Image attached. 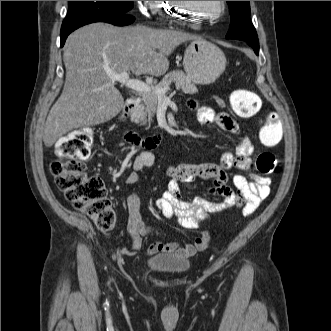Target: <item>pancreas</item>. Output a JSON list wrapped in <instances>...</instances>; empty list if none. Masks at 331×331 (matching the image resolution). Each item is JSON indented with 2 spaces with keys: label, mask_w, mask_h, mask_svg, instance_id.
Here are the masks:
<instances>
[{
  "label": "pancreas",
  "mask_w": 331,
  "mask_h": 331,
  "mask_svg": "<svg viewBox=\"0 0 331 331\" xmlns=\"http://www.w3.org/2000/svg\"><path fill=\"white\" fill-rule=\"evenodd\" d=\"M172 82L175 83L177 89H181L185 93L195 94L198 92L195 83L189 76L180 70L172 71L165 75L159 84L152 86L150 91L142 94L143 103L133 109L131 113V121L136 124L141 122L142 125L148 123V127H150L152 117L156 113L158 104V96L155 93V90L157 88L169 87Z\"/></svg>",
  "instance_id": "cf45deb5"
}]
</instances>
